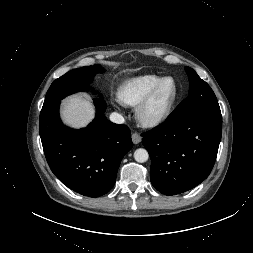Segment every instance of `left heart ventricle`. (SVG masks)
Listing matches in <instances>:
<instances>
[{
  "mask_svg": "<svg viewBox=\"0 0 253 253\" xmlns=\"http://www.w3.org/2000/svg\"><path fill=\"white\" fill-rule=\"evenodd\" d=\"M172 92H173V83L171 81L165 82L154 101V104L151 108V112L152 113L158 112L170 98Z\"/></svg>",
  "mask_w": 253,
  "mask_h": 253,
  "instance_id": "1",
  "label": "left heart ventricle"
}]
</instances>
